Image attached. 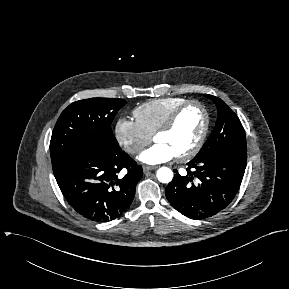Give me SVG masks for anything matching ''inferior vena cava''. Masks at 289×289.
<instances>
[{
    "label": "inferior vena cava",
    "mask_w": 289,
    "mask_h": 289,
    "mask_svg": "<svg viewBox=\"0 0 289 289\" xmlns=\"http://www.w3.org/2000/svg\"><path fill=\"white\" fill-rule=\"evenodd\" d=\"M140 151H141V149L138 148V147H131V148L129 149V152H131V153H138V152H140Z\"/></svg>",
    "instance_id": "1"
}]
</instances>
